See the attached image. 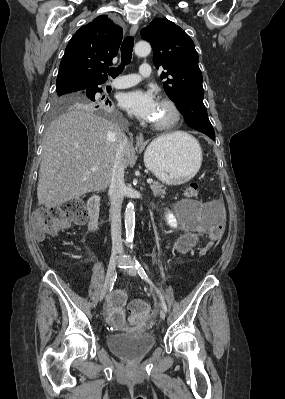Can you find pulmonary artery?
Segmentation results:
<instances>
[{
	"label": "pulmonary artery",
	"instance_id": "pulmonary-artery-1",
	"mask_svg": "<svg viewBox=\"0 0 285 399\" xmlns=\"http://www.w3.org/2000/svg\"><path fill=\"white\" fill-rule=\"evenodd\" d=\"M151 76V68L149 63H141L139 66L138 74L128 73L123 74L118 79L113 81L110 85L117 89H123L131 87L137 84L140 78H148Z\"/></svg>",
	"mask_w": 285,
	"mask_h": 399
}]
</instances>
